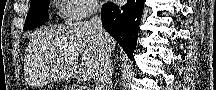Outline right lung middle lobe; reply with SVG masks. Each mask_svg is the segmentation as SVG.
<instances>
[{
  "mask_svg": "<svg viewBox=\"0 0 216 90\" xmlns=\"http://www.w3.org/2000/svg\"><path fill=\"white\" fill-rule=\"evenodd\" d=\"M49 2V0H31L30 9L23 28L24 31L39 27L48 20L47 8Z\"/></svg>",
  "mask_w": 216,
  "mask_h": 90,
  "instance_id": "1",
  "label": "right lung middle lobe"
}]
</instances>
